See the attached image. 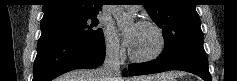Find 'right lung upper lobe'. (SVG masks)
Wrapping results in <instances>:
<instances>
[{
  "label": "right lung upper lobe",
  "mask_w": 237,
  "mask_h": 81,
  "mask_svg": "<svg viewBox=\"0 0 237 81\" xmlns=\"http://www.w3.org/2000/svg\"><path fill=\"white\" fill-rule=\"evenodd\" d=\"M102 0H46L43 5L45 18L54 16H88L96 15L102 7Z\"/></svg>",
  "instance_id": "right-lung-upper-lobe-1"
}]
</instances>
